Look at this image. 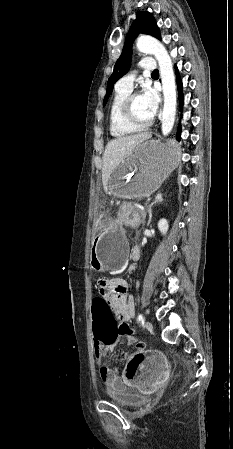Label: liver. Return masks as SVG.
Here are the masks:
<instances>
[{
	"instance_id": "liver-1",
	"label": "liver",
	"mask_w": 233,
	"mask_h": 449,
	"mask_svg": "<svg viewBox=\"0 0 233 449\" xmlns=\"http://www.w3.org/2000/svg\"><path fill=\"white\" fill-rule=\"evenodd\" d=\"M150 132L118 137L110 141L103 154L102 183L105 192L109 190V179L114 170L126 159L137 145L149 139Z\"/></svg>"
}]
</instances>
